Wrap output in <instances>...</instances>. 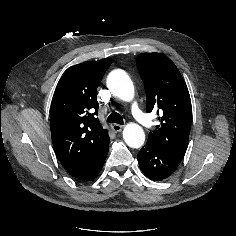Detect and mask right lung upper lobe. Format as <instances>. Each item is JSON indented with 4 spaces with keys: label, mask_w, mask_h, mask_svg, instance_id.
<instances>
[{
    "label": "right lung upper lobe",
    "mask_w": 236,
    "mask_h": 236,
    "mask_svg": "<svg viewBox=\"0 0 236 236\" xmlns=\"http://www.w3.org/2000/svg\"><path fill=\"white\" fill-rule=\"evenodd\" d=\"M110 64L111 59L105 58L71 67L60 79L52 100L53 147L67 172L78 179L108 153V132L94 114L99 108L97 87Z\"/></svg>",
    "instance_id": "1"
}]
</instances>
